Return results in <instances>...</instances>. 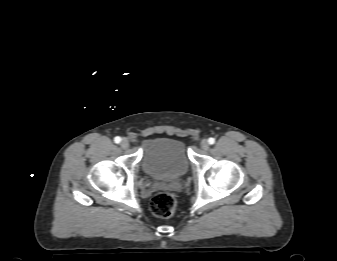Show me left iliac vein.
Instances as JSON below:
<instances>
[{
	"mask_svg": "<svg viewBox=\"0 0 337 261\" xmlns=\"http://www.w3.org/2000/svg\"><path fill=\"white\" fill-rule=\"evenodd\" d=\"M200 146L203 150H208L209 148V142L206 139H203L200 143Z\"/></svg>",
	"mask_w": 337,
	"mask_h": 261,
	"instance_id": "left-iliac-vein-1",
	"label": "left iliac vein"
}]
</instances>
